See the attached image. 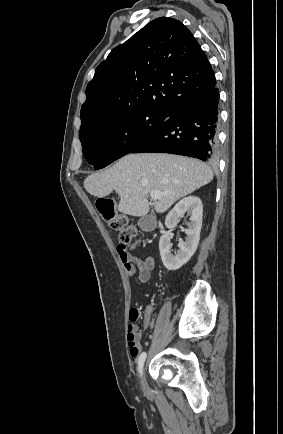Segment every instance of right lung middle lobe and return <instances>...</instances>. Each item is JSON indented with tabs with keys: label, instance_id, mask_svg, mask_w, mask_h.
Wrapping results in <instances>:
<instances>
[{
	"label": "right lung middle lobe",
	"instance_id": "dd1d6c3e",
	"mask_svg": "<svg viewBox=\"0 0 283 434\" xmlns=\"http://www.w3.org/2000/svg\"><path fill=\"white\" fill-rule=\"evenodd\" d=\"M169 112L151 109L128 111L80 131L82 151L95 169L103 168L131 153L158 129Z\"/></svg>",
	"mask_w": 283,
	"mask_h": 434
}]
</instances>
